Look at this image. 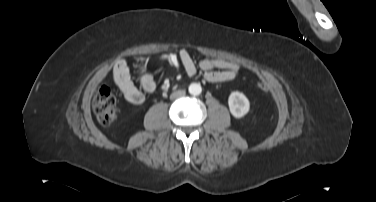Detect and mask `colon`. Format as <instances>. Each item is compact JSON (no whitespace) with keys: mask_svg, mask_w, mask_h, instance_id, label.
I'll list each match as a JSON object with an SVG mask.
<instances>
[{"mask_svg":"<svg viewBox=\"0 0 376 202\" xmlns=\"http://www.w3.org/2000/svg\"><path fill=\"white\" fill-rule=\"evenodd\" d=\"M257 87L263 92L268 90V85L263 80L257 83ZM92 107L101 124L111 126L117 120L116 98L108 86H102L96 91Z\"/></svg>","mask_w":376,"mask_h":202,"instance_id":"1","label":"colon"}]
</instances>
